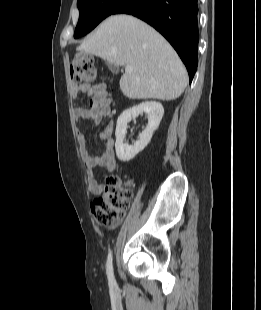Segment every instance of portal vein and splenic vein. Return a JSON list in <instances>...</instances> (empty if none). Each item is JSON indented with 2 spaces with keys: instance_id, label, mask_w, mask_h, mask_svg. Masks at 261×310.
Segmentation results:
<instances>
[{
  "instance_id": "18ae733b",
  "label": "portal vein and splenic vein",
  "mask_w": 261,
  "mask_h": 310,
  "mask_svg": "<svg viewBox=\"0 0 261 310\" xmlns=\"http://www.w3.org/2000/svg\"><path fill=\"white\" fill-rule=\"evenodd\" d=\"M133 70V68L131 67V66H129V65H127L126 67H125V71L126 72H131Z\"/></svg>"
}]
</instances>
